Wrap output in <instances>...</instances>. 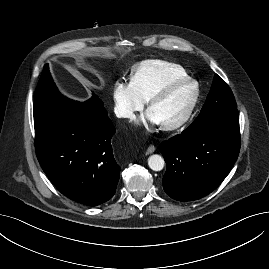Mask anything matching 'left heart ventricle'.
Listing matches in <instances>:
<instances>
[{
	"label": "left heart ventricle",
	"mask_w": 269,
	"mask_h": 269,
	"mask_svg": "<svg viewBox=\"0 0 269 269\" xmlns=\"http://www.w3.org/2000/svg\"><path fill=\"white\" fill-rule=\"evenodd\" d=\"M193 88L182 87L174 90L167 97L154 104L149 112L160 125L177 121L186 110L191 99Z\"/></svg>",
	"instance_id": "left-heart-ventricle-1"
}]
</instances>
